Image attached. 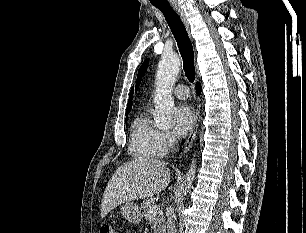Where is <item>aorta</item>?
I'll use <instances>...</instances> for the list:
<instances>
[{
    "label": "aorta",
    "instance_id": "1",
    "mask_svg": "<svg viewBox=\"0 0 306 233\" xmlns=\"http://www.w3.org/2000/svg\"><path fill=\"white\" fill-rule=\"evenodd\" d=\"M181 61L178 55H163L156 72V92L154 95V120L158 127H169L172 122L174 101L171 95L180 71ZM196 162L192 161L184 181L183 195L186 196L192 187L195 177Z\"/></svg>",
    "mask_w": 306,
    "mask_h": 233
}]
</instances>
